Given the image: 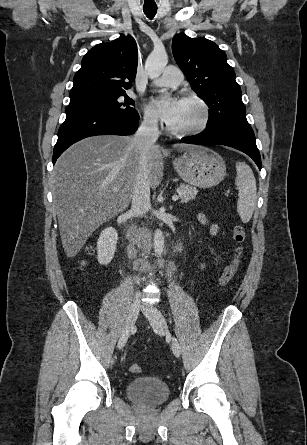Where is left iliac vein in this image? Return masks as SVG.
Masks as SVG:
<instances>
[{"label":"left iliac vein","instance_id":"obj_1","mask_svg":"<svg viewBox=\"0 0 307 445\" xmlns=\"http://www.w3.org/2000/svg\"><path fill=\"white\" fill-rule=\"evenodd\" d=\"M144 314L148 317L153 330L159 334L164 335L168 331V326L165 317L155 306H143ZM171 346L173 354L176 357L181 355V347L178 340L175 337L171 338Z\"/></svg>","mask_w":307,"mask_h":445}]
</instances>
